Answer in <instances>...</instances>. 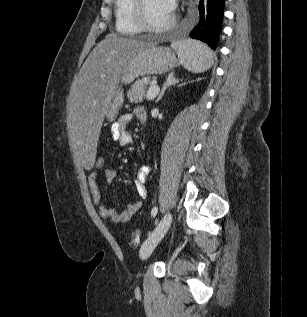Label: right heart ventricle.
I'll return each mask as SVG.
<instances>
[{
	"label": "right heart ventricle",
	"instance_id": "right-heart-ventricle-1",
	"mask_svg": "<svg viewBox=\"0 0 307 317\" xmlns=\"http://www.w3.org/2000/svg\"><path fill=\"white\" fill-rule=\"evenodd\" d=\"M132 0H114L115 29L119 34L131 35L141 30L133 17Z\"/></svg>",
	"mask_w": 307,
	"mask_h": 317
}]
</instances>
